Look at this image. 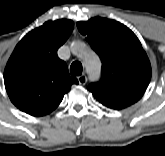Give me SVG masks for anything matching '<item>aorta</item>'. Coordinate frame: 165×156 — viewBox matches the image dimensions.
<instances>
[{
  "instance_id": "762f6f07",
  "label": "aorta",
  "mask_w": 165,
  "mask_h": 156,
  "mask_svg": "<svg viewBox=\"0 0 165 156\" xmlns=\"http://www.w3.org/2000/svg\"><path fill=\"white\" fill-rule=\"evenodd\" d=\"M71 51L82 59L90 78L93 80L98 79L101 69V62L98 56L80 41H75L71 44Z\"/></svg>"
}]
</instances>
